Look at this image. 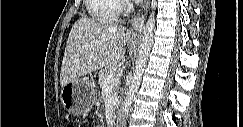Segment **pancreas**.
Masks as SVG:
<instances>
[{
	"label": "pancreas",
	"instance_id": "1",
	"mask_svg": "<svg viewBox=\"0 0 243 127\" xmlns=\"http://www.w3.org/2000/svg\"><path fill=\"white\" fill-rule=\"evenodd\" d=\"M112 72H116V67L115 66H107L105 67L104 69H102L99 73V84L100 86L102 87V82L104 81V79ZM117 85H118V82L117 81H114L110 87H111V90H112V94H113V97L114 98H117Z\"/></svg>",
	"mask_w": 243,
	"mask_h": 127
}]
</instances>
